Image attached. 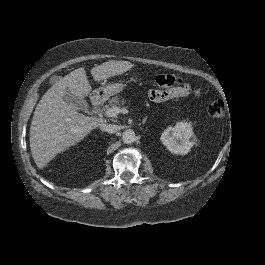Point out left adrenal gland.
Returning <instances> with one entry per match:
<instances>
[{
  "mask_svg": "<svg viewBox=\"0 0 265 265\" xmlns=\"http://www.w3.org/2000/svg\"><path fill=\"white\" fill-rule=\"evenodd\" d=\"M146 120H147V117H144V119H143V121H142V122H143V123H145V122H146Z\"/></svg>",
  "mask_w": 265,
  "mask_h": 265,
  "instance_id": "obj_1",
  "label": "left adrenal gland"
}]
</instances>
